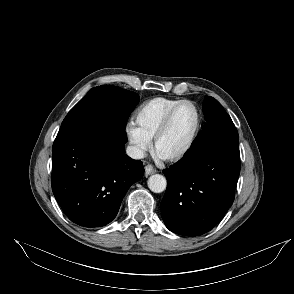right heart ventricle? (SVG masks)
Wrapping results in <instances>:
<instances>
[{
	"label": "right heart ventricle",
	"instance_id": "right-heart-ventricle-1",
	"mask_svg": "<svg viewBox=\"0 0 294 294\" xmlns=\"http://www.w3.org/2000/svg\"><path fill=\"white\" fill-rule=\"evenodd\" d=\"M181 100L183 99L166 97L148 100L140 106L135 115L137 127L149 140H152L167 112Z\"/></svg>",
	"mask_w": 294,
	"mask_h": 294
}]
</instances>
